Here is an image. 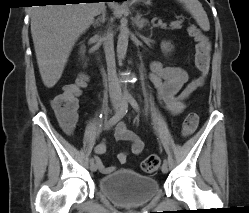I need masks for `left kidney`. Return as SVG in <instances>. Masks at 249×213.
<instances>
[{"label": "left kidney", "instance_id": "1", "mask_svg": "<svg viewBox=\"0 0 249 213\" xmlns=\"http://www.w3.org/2000/svg\"><path fill=\"white\" fill-rule=\"evenodd\" d=\"M172 48H173V46L171 45L170 42L164 41V42H162V44H161V49H162V51H163L164 53L170 52Z\"/></svg>", "mask_w": 249, "mask_h": 213}]
</instances>
